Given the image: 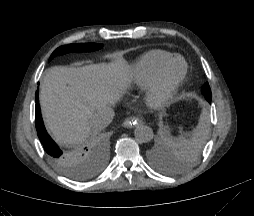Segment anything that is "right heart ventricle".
<instances>
[{
  "mask_svg": "<svg viewBox=\"0 0 254 216\" xmlns=\"http://www.w3.org/2000/svg\"><path fill=\"white\" fill-rule=\"evenodd\" d=\"M170 57L172 54L163 50H150L142 54L130 68L129 79L132 87L136 89L147 87L152 82L160 65Z\"/></svg>",
  "mask_w": 254,
  "mask_h": 216,
  "instance_id": "1",
  "label": "right heart ventricle"
}]
</instances>
